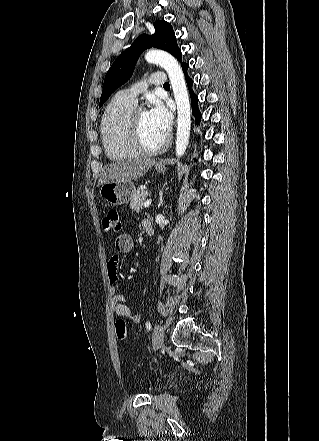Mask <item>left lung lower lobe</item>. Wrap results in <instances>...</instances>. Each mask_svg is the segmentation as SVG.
<instances>
[{
    "mask_svg": "<svg viewBox=\"0 0 319 441\" xmlns=\"http://www.w3.org/2000/svg\"><path fill=\"white\" fill-rule=\"evenodd\" d=\"M181 66H182V70H183V72L185 73L186 82H187V85H188V88H189V93H190V97H191L192 111H193V114H194V116H195L196 121L198 122L199 119H200V117H201V116H200V112H199L198 107H197L198 97L192 92L191 87H192V83H193V82H192V80L186 75V74H187V70H188L189 65L186 64V63H182Z\"/></svg>",
    "mask_w": 319,
    "mask_h": 441,
    "instance_id": "0a47b994",
    "label": "left lung lower lobe"
}]
</instances>
